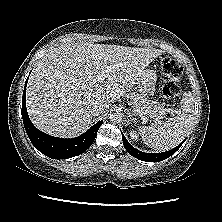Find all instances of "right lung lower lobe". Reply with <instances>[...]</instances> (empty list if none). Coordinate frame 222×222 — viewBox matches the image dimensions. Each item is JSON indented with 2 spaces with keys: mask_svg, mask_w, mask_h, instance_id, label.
<instances>
[{
  "mask_svg": "<svg viewBox=\"0 0 222 222\" xmlns=\"http://www.w3.org/2000/svg\"><path fill=\"white\" fill-rule=\"evenodd\" d=\"M27 80L25 83L23 97H22L21 113L25 130L32 144L41 153L53 159H67L80 155L83 152H85L93 143L97 131L102 125L103 121L97 122L85 133L72 139L53 137L43 133L33 125L27 113L26 109Z\"/></svg>",
  "mask_w": 222,
  "mask_h": 222,
  "instance_id": "right-lung-lower-lobe-1",
  "label": "right lung lower lobe"
}]
</instances>
